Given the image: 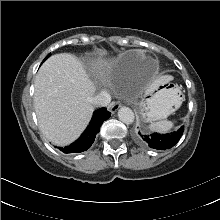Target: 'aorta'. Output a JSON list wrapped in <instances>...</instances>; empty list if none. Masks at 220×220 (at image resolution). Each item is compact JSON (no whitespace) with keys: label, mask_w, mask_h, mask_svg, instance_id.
<instances>
[{"label":"aorta","mask_w":220,"mask_h":220,"mask_svg":"<svg viewBox=\"0 0 220 220\" xmlns=\"http://www.w3.org/2000/svg\"><path fill=\"white\" fill-rule=\"evenodd\" d=\"M118 118L121 122L125 124H132L134 122L135 116L133 111L128 107H121L118 110Z\"/></svg>","instance_id":"obj_1"}]
</instances>
